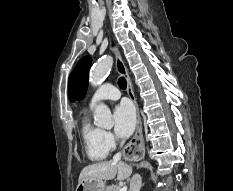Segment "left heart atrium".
Listing matches in <instances>:
<instances>
[{
    "label": "left heart atrium",
    "instance_id": "left-heart-atrium-1",
    "mask_svg": "<svg viewBox=\"0 0 233 191\" xmlns=\"http://www.w3.org/2000/svg\"><path fill=\"white\" fill-rule=\"evenodd\" d=\"M114 130L121 138L129 137L136 126V114L134 108L128 103L119 104L113 113Z\"/></svg>",
    "mask_w": 233,
    "mask_h": 191
}]
</instances>
